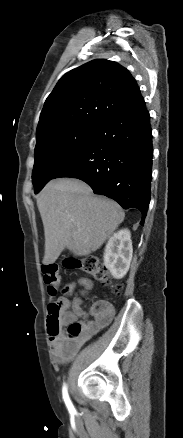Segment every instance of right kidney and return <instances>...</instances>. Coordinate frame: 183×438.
Instances as JSON below:
<instances>
[{"label":"right kidney","mask_w":183,"mask_h":438,"mask_svg":"<svg viewBox=\"0 0 183 438\" xmlns=\"http://www.w3.org/2000/svg\"><path fill=\"white\" fill-rule=\"evenodd\" d=\"M132 253L131 233L128 229L119 230L109 238L104 252V265L114 278L121 279L126 275Z\"/></svg>","instance_id":"ca27d5eb"}]
</instances>
